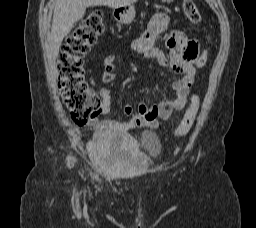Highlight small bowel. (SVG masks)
<instances>
[{"mask_svg":"<svg viewBox=\"0 0 256 228\" xmlns=\"http://www.w3.org/2000/svg\"><path fill=\"white\" fill-rule=\"evenodd\" d=\"M171 23V19L164 13H155L144 33L130 44L131 50L142 54L146 58H156L163 66H168L181 75L174 81L172 87L175 93L174 99H162L159 104L148 106L141 102L138 111L134 112L131 104H125L124 113L128 116L125 122L105 120L102 122L92 121L98 134L124 133L136 127L157 128L158 119L166 120L174 112L182 110L187 104L190 86L196 77L194 66L199 52V45L196 40L189 39L182 31H172L165 42L170 54L166 56L155 48L157 37L165 32ZM116 57L108 55L104 59V71L102 81L111 83L116 78ZM101 96V112L104 115L111 113V91L106 87L99 89Z\"/></svg>","mask_w":256,"mask_h":228,"instance_id":"obj_1","label":"small bowel"}]
</instances>
